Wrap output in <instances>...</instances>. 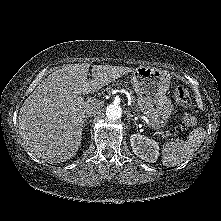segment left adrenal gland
I'll use <instances>...</instances> for the list:
<instances>
[{
    "mask_svg": "<svg viewBox=\"0 0 221 221\" xmlns=\"http://www.w3.org/2000/svg\"><path fill=\"white\" fill-rule=\"evenodd\" d=\"M127 117H128L129 120L131 119V120L134 121L133 115L130 113V111H127ZM135 125H137L136 122H135Z\"/></svg>",
    "mask_w": 221,
    "mask_h": 221,
    "instance_id": "obj_1",
    "label": "left adrenal gland"
}]
</instances>
